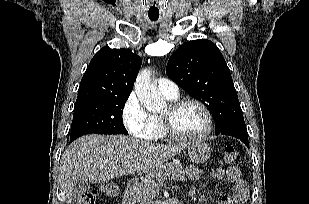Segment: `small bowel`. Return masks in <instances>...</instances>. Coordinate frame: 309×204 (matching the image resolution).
I'll return each mask as SVG.
<instances>
[{
  "instance_id": "obj_1",
  "label": "small bowel",
  "mask_w": 309,
  "mask_h": 204,
  "mask_svg": "<svg viewBox=\"0 0 309 204\" xmlns=\"http://www.w3.org/2000/svg\"><path fill=\"white\" fill-rule=\"evenodd\" d=\"M189 173L191 177L195 178L202 174V170L190 168ZM210 176L217 180H227L233 184L232 195H221L219 204H245L249 197V187L238 167H215L210 170Z\"/></svg>"
}]
</instances>
